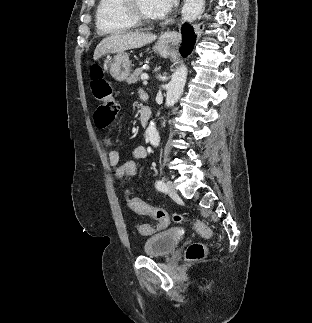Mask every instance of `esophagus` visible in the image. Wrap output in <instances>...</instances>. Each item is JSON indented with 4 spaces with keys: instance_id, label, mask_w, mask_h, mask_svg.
I'll return each instance as SVG.
<instances>
[{
    "instance_id": "obj_1",
    "label": "esophagus",
    "mask_w": 312,
    "mask_h": 323,
    "mask_svg": "<svg viewBox=\"0 0 312 323\" xmlns=\"http://www.w3.org/2000/svg\"><path fill=\"white\" fill-rule=\"evenodd\" d=\"M162 39L173 45H178L181 41V35L178 32L167 31L162 34Z\"/></svg>"
}]
</instances>
